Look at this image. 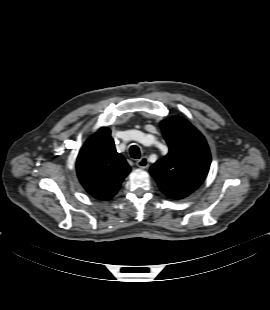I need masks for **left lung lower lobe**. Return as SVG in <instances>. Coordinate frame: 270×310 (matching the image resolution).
<instances>
[{
  "label": "left lung lower lobe",
  "mask_w": 270,
  "mask_h": 310,
  "mask_svg": "<svg viewBox=\"0 0 270 310\" xmlns=\"http://www.w3.org/2000/svg\"><path fill=\"white\" fill-rule=\"evenodd\" d=\"M164 194L172 199H182L190 195L192 192L186 190L161 189Z\"/></svg>",
  "instance_id": "obj_1"
}]
</instances>
